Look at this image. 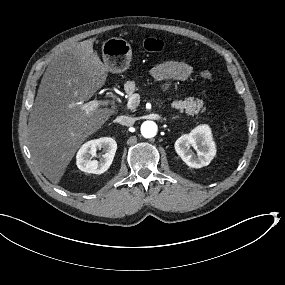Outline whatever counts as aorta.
I'll return each mask as SVG.
<instances>
[{"instance_id":"762f6f07","label":"aorta","mask_w":285,"mask_h":285,"mask_svg":"<svg viewBox=\"0 0 285 285\" xmlns=\"http://www.w3.org/2000/svg\"><path fill=\"white\" fill-rule=\"evenodd\" d=\"M141 134L145 138H152L157 134L158 127L154 121H145L141 125Z\"/></svg>"}]
</instances>
